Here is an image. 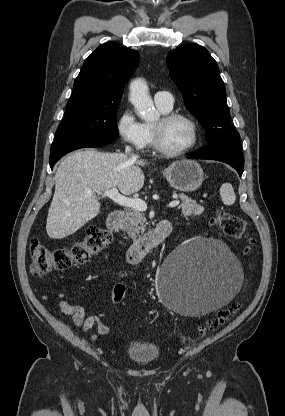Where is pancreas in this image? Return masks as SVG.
<instances>
[{
	"label": "pancreas",
	"mask_w": 285,
	"mask_h": 416,
	"mask_svg": "<svg viewBox=\"0 0 285 416\" xmlns=\"http://www.w3.org/2000/svg\"><path fill=\"white\" fill-rule=\"evenodd\" d=\"M176 196L182 202L179 208H181L184 216H200V214H203V206L197 204L195 200H190L185 194H176ZM145 222L146 218L143 212H139L135 208H126L124 222H122V230L123 232H127L129 238L136 240L140 234H144L146 228L144 226Z\"/></svg>",
	"instance_id": "1"
}]
</instances>
